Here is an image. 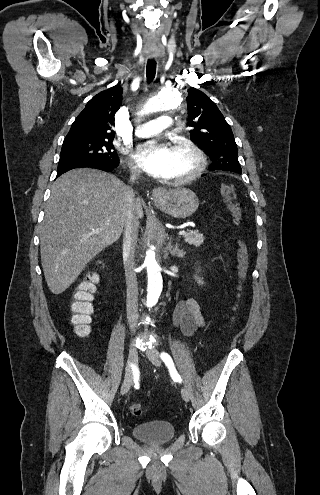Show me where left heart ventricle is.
<instances>
[{
	"instance_id": "b2bd125f",
	"label": "left heart ventricle",
	"mask_w": 320,
	"mask_h": 495,
	"mask_svg": "<svg viewBox=\"0 0 320 495\" xmlns=\"http://www.w3.org/2000/svg\"><path fill=\"white\" fill-rule=\"evenodd\" d=\"M171 151L173 155L171 178L176 179L189 172L194 166V161L192 156L183 148L171 147Z\"/></svg>"
}]
</instances>
